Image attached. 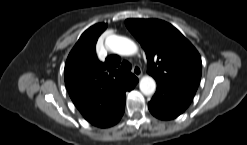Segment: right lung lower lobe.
Masks as SVG:
<instances>
[{"label": "right lung lower lobe", "instance_id": "1", "mask_svg": "<svg viewBox=\"0 0 247 145\" xmlns=\"http://www.w3.org/2000/svg\"><path fill=\"white\" fill-rule=\"evenodd\" d=\"M136 83H137V82H135V83L132 85V88H131V89L134 88V86L136 85ZM123 113H124V109L122 110V112H121L115 119L111 120L110 122L106 123L105 125H103V126H101V127L105 128V127H110V126L115 125V124L121 119Z\"/></svg>", "mask_w": 247, "mask_h": 145}]
</instances>
